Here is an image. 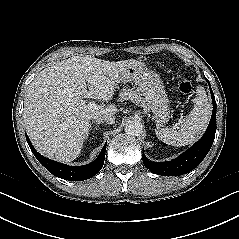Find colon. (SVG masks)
I'll use <instances>...</instances> for the list:
<instances>
[{
	"instance_id": "obj_1",
	"label": "colon",
	"mask_w": 239,
	"mask_h": 239,
	"mask_svg": "<svg viewBox=\"0 0 239 239\" xmlns=\"http://www.w3.org/2000/svg\"><path fill=\"white\" fill-rule=\"evenodd\" d=\"M180 91L185 95H192L193 93V86L187 80H182L179 84Z\"/></svg>"
}]
</instances>
